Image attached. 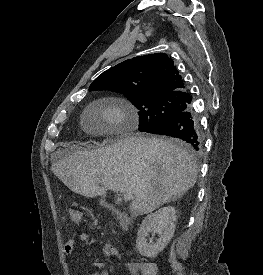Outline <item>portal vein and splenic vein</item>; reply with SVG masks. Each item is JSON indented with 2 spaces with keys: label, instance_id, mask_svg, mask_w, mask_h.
<instances>
[{
  "label": "portal vein and splenic vein",
  "instance_id": "18ae733b",
  "mask_svg": "<svg viewBox=\"0 0 263 275\" xmlns=\"http://www.w3.org/2000/svg\"><path fill=\"white\" fill-rule=\"evenodd\" d=\"M132 199V195L130 193H125L124 194V200H131Z\"/></svg>",
  "mask_w": 263,
  "mask_h": 275
}]
</instances>
